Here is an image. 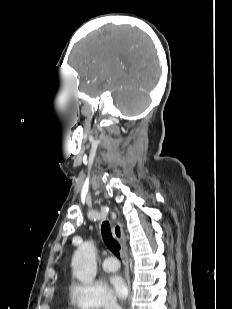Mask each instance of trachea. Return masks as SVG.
Here are the masks:
<instances>
[{
  "instance_id": "1",
  "label": "trachea",
  "mask_w": 232,
  "mask_h": 309,
  "mask_svg": "<svg viewBox=\"0 0 232 309\" xmlns=\"http://www.w3.org/2000/svg\"><path fill=\"white\" fill-rule=\"evenodd\" d=\"M101 233L104 239L106 246L109 250L116 255L117 257L120 256V245L119 243L113 238L110 224L108 221H104L101 226Z\"/></svg>"
}]
</instances>
